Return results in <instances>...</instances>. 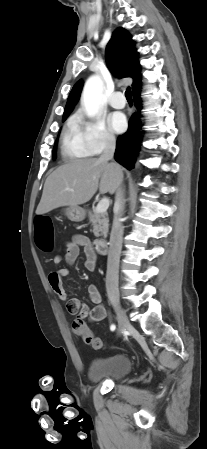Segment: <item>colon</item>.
Here are the masks:
<instances>
[{"label": "colon", "instance_id": "obj_1", "mask_svg": "<svg viewBox=\"0 0 207 449\" xmlns=\"http://www.w3.org/2000/svg\"><path fill=\"white\" fill-rule=\"evenodd\" d=\"M35 242L37 247L43 252H50L53 250V225L50 218L45 215H41L36 218ZM72 330L75 335L83 338V340L93 349L100 350L104 347L101 338L93 335L82 319L77 318L73 320Z\"/></svg>", "mask_w": 207, "mask_h": 449}]
</instances>
